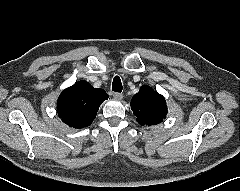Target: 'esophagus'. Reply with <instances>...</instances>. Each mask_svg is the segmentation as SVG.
<instances>
[{
	"label": "esophagus",
	"mask_w": 240,
	"mask_h": 191,
	"mask_svg": "<svg viewBox=\"0 0 240 191\" xmlns=\"http://www.w3.org/2000/svg\"><path fill=\"white\" fill-rule=\"evenodd\" d=\"M113 97L116 100H121L123 98V95L121 93H114Z\"/></svg>",
	"instance_id": "esophagus-1"
}]
</instances>
